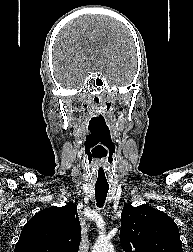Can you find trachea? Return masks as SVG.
<instances>
[{"label":"trachea","instance_id":"1","mask_svg":"<svg viewBox=\"0 0 193 252\" xmlns=\"http://www.w3.org/2000/svg\"><path fill=\"white\" fill-rule=\"evenodd\" d=\"M108 190H109L108 184H95V197L97 206L99 208L103 207L107 197Z\"/></svg>","mask_w":193,"mask_h":252}]
</instances>
